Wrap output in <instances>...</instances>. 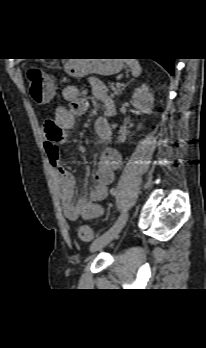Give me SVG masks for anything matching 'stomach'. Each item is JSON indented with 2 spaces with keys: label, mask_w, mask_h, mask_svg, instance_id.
Wrapping results in <instances>:
<instances>
[{
  "label": "stomach",
  "mask_w": 206,
  "mask_h": 348,
  "mask_svg": "<svg viewBox=\"0 0 206 348\" xmlns=\"http://www.w3.org/2000/svg\"><path fill=\"white\" fill-rule=\"evenodd\" d=\"M123 68L120 59H69L64 66L65 72L73 77H84L88 74H99L109 76L119 73ZM46 98L40 100L45 103Z\"/></svg>",
  "instance_id": "1"
}]
</instances>
